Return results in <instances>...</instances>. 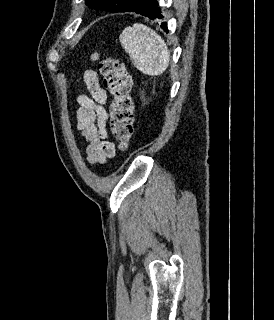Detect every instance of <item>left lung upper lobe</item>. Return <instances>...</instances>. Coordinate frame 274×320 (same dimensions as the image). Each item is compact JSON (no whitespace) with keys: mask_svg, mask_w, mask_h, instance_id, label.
I'll return each mask as SVG.
<instances>
[{"mask_svg":"<svg viewBox=\"0 0 274 320\" xmlns=\"http://www.w3.org/2000/svg\"><path fill=\"white\" fill-rule=\"evenodd\" d=\"M86 4L96 10L121 12L132 5L136 0H85Z\"/></svg>","mask_w":274,"mask_h":320,"instance_id":"1","label":"left lung upper lobe"}]
</instances>
